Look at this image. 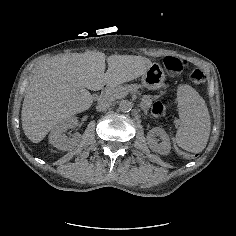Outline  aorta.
<instances>
[{
	"mask_svg": "<svg viewBox=\"0 0 236 236\" xmlns=\"http://www.w3.org/2000/svg\"><path fill=\"white\" fill-rule=\"evenodd\" d=\"M119 109L122 112H129L132 109V103L128 100H122L119 103Z\"/></svg>",
	"mask_w": 236,
	"mask_h": 236,
	"instance_id": "762f6f07",
	"label": "aorta"
}]
</instances>
